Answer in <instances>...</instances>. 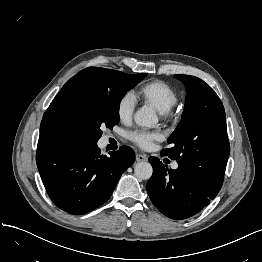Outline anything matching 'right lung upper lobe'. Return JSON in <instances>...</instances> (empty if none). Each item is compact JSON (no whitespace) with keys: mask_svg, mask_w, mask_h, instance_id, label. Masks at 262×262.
Masks as SVG:
<instances>
[{"mask_svg":"<svg viewBox=\"0 0 262 262\" xmlns=\"http://www.w3.org/2000/svg\"><path fill=\"white\" fill-rule=\"evenodd\" d=\"M110 69L98 68V67H89L77 75L72 77L61 89V91L56 95L54 100L51 102L50 106L44 113L43 119L40 125V137L41 136H53V137H62L60 132L58 131L56 120H55V113L64 100L65 94L69 85L76 79L86 76L91 77H100L106 75Z\"/></svg>","mask_w":262,"mask_h":262,"instance_id":"obj_1","label":"right lung upper lobe"}]
</instances>
